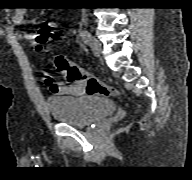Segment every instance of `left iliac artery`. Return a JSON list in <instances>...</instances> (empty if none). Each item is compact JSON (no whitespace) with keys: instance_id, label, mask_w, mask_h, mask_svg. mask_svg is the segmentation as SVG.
Masks as SVG:
<instances>
[{"instance_id":"1","label":"left iliac artery","mask_w":192,"mask_h":180,"mask_svg":"<svg viewBox=\"0 0 192 180\" xmlns=\"http://www.w3.org/2000/svg\"><path fill=\"white\" fill-rule=\"evenodd\" d=\"M81 36H82V39L84 41L85 44H89V41H90V33L84 29L82 32H81Z\"/></svg>"}]
</instances>
